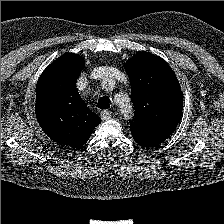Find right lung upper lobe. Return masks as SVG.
<instances>
[{
	"label": "right lung upper lobe",
	"instance_id": "right-lung-upper-lobe-1",
	"mask_svg": "<svg viewBox=\"0 0 224 224\" xmlns=\"http://www.w3.org/2000/svg\"><path fill=\"white\" fill-rule=\"evenodd\" d=\"M83 66L81 56L67 53L44 70L36 86L35 114L40 127L51 140L73 149L83 146L101 123L75 85Z\"/></svg>",
	"mask_w": 224,
	"mask_h": 224
}]
</instances>
